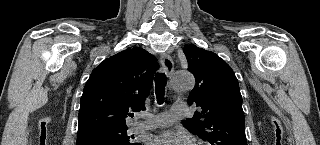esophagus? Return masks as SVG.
Wrapping results in <instances>:
<instances>
[{
	"label": "esophagus",
	"instance_id": "esophagus-1",
	"mask_svg": "<svg viewBox=\"0 0 320 145\" xmlns=\"http://www.w3.org/2000/svg\"><path fill=\"white\" fill-rule=\"evenodd\" d=\"M161 63L164 71L171 74L174 71V63L170 55L164 53L161 55Z\"/></svg>",
	"mask_w": 320,
	"mask_h": 145
}]
</instances>
